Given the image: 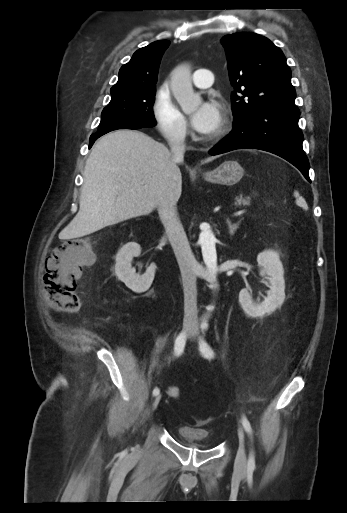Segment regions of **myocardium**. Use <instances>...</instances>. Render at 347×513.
I'll return each mask as SVG.
<instances>
[{
  "instance_id": "obj_1",
  "label": "myocardium",
  "mask_w": 347,
  "mask_h": 513,
  "mask_svg": "<svg viewBox=\"0 0 347 513\" xmlns=\"http://www.w3.org/2000/svg\"><path fill=\"white\" fill-rule=\"evenodd\" d=\"M228 128V124L226 121H223L218 130L209 138L210 140H215L222 136Z\"/></svg>"
}]
</instances>
